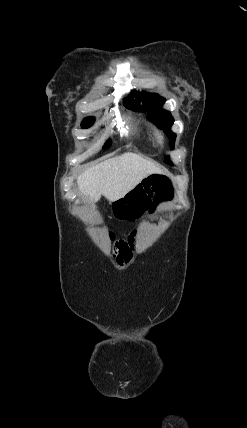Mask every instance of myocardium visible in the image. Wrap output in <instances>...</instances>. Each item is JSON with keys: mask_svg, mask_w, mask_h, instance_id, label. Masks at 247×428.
<instances>
[{"mask_svg": "<svg viewBox=\"0 0 247 428\" xmlns=\"http://www.w3.org/2000/svg\"><path fill=\"white\" fill-rule=\"evenodd\" d=\"M158 139H159V141H162L163 140V136L162 135H158Z\"/></svg>", "mask_w": 247, "mask_h": 428, "instance_id": "obj_1", "label": "myocardium"}]
</instances>
